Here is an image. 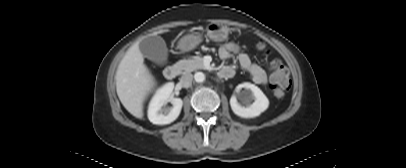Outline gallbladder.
Listing matches in <instances>:
<instances>
[{"label":"gallbladder","mask_w":406,"mask_h":168,"mask_svg":"<svg viewBox=\"0 0 406 168\" xmlns=\"http://www.w3.org/2000/svg\"><path fill=\"white\" fill-rule=\"evenodd\" d=\"M139 49L144 57L155 64L162 66L167 63L168 52L162 37L152 35L144 38L139 44Z\"/></svg>","instance_id":"gallbladder-1"}]
</instances>
